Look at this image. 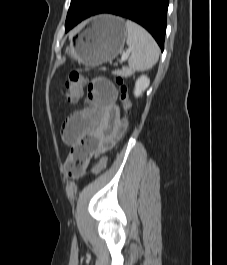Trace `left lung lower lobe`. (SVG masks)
Instances as JSON below:
<instances>
[{"mask_svg":"<svg viewBox=\"0 0 227 265\" xmlns=\"http://www.w3.org/2000/svg\"><path fill=\"white\" fill-rule=\"evenodd\" d=\"M168 4L169 0H105L90 16L109 13L133 20L152 34L163 51Z\"/></svg>","mask_w":227,"mask_h":265,"instance_id":"left-lung-lower-lobe-1","label":"left lung lower lobe"}]
</instances>
